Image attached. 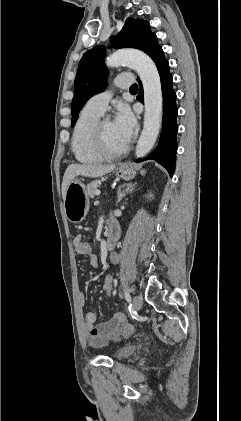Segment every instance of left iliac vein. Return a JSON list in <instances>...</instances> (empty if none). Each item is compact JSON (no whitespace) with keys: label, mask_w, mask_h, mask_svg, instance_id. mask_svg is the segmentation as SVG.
Returning <instances> with one entry per match:
<instances>
[{"label":"left iliac vein","mask_w":241,"mask_h":421,"mask_svg":"<svg viewBox=\"0 0 241 421\" xmlns=\"http://www.w3.org/2000/svg\"><path fill=\"white\" fill-rule=\"evenodd\" d=\"M143 303L142 297L140 295H135L133 297V307L138 310L141 308Z\"/></svg>","instance_id":"4c4485c4"}]
</instances>
